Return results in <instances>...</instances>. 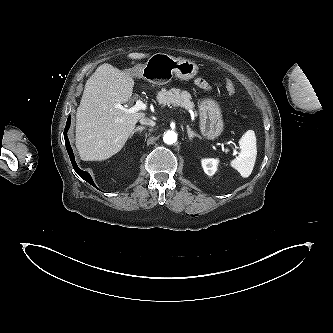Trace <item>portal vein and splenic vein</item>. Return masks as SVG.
<instances>
[{"mask_svg": "<svg viewBox=\"0 0 333 333\" xmlns=\"http://www.w3.org/2000/svg\"><path fill=\"white\" fill-rule=\"evenodd\" d=\"M115 108H117V109H120V110H122V111H124V112H126V113H129V114H131V113H135V112H138L139 110H145L146 108H147V105L145 104V103H143L141 100H137L136 101V104L133 106V107H131V108H125L124 106H122L121 104H117L116 106H115ZM227 151H229L228 149H226V152ZM238 154V152H237V150L236 149H233V155H237Z\"/></svg>", "mask_w": 333, "mask_h": 333, "instance_id": "1", "label": "portal vein and splenic vein"}]
</instances>
